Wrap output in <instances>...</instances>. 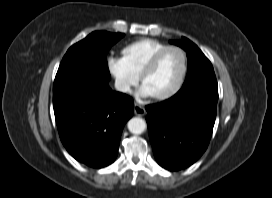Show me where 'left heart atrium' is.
Returning <instances> with one entry per match:
<instances>
[{"mask_svg": "<svg viewBox=\"0 0 272 198\" xmlns=\"http://www.w3.org/2000/svg\"><path fill=\"white\" fill-rule=\"evenodd\" d=\"M138 95L142 98H147L150 97V94L148 93V91L145 89L144 86H141L138 90Z\"/></svg>", "mask_w": 272, "mask_h": 198, "instance_id": "1", "label": "left heart atrium"}]
</instances>
